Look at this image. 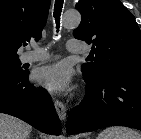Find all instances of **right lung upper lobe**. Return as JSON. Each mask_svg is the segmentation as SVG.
Here are the masks:
<instances>
[{"mask_svg": "<svg viewBox=\"0 0 141 139\" xmlns=\"http://www.w3.org/2000/svg\"><path fill=\"white\" fill-rule=\"evenodd\" d=\"M50 0H0V56L18 57L25 41L42 36Z\"/></svg>", "mask_w": 141, "mask_h": 139, "instance_id": "right-lung-upper-lobe-1", "label": "right lung upper lobe"}]
</instances>
